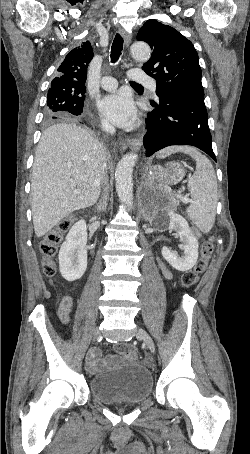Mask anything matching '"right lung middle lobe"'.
<instances>
[{
	"label": "right lung middle lobe",
	"mask_w": 250,
	"mask_h": 454,
	"mask_svg": "<svg viewBox=\"0 0 250 454\" xmlns=\"http://www.w3.org/2000/svg\"><path fill=\"white\" fill-rule=\"evenodd\" d=\"M86 88L64 90L49 88L47 105L45 108V120L51 121L66 116H78L83 112Z\"/></svg>",
	"instance_id": "dd1d6c3e"
}]
</instances>
